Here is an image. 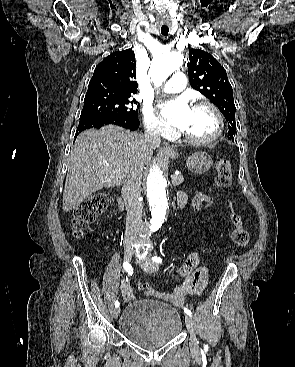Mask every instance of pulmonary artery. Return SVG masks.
Wrapping results in <instances>:
<instances>
[{
  "mask_svg": "<svg viewBox=\"0 0 295 367\" xmlns=\"http://www.w3.org/2000/svg\"><path fill=\"white\" fill-rule=\"evenodd\" d=\"M187 79L183 72L177 71L173 74L171 79L164 84L162 91L166 93H177L185 89Z\"/></svg>",
  "mask_w": 295,
  "mask_h": 367,
  "instance_id": "pulmonary-artery-1",
  "label": "pulmonary artery"
}]
</instances>
